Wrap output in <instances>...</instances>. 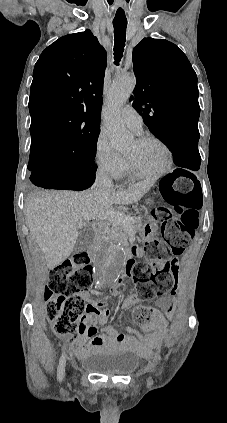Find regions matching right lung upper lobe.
Here are the masks:
<instances>
[{"label": "right lung upper lobe", "instance_id": "right-lung-upper-lobe-1", "mask_svg": "<svg viewBox=\"0 0 227 423\" xmlns=\"http://www.w3.org/2000/svg\"><path fill=\"white\" fill-rule=\"evenodd\" d=\"M106 51L90 30L66 35L35 64L31 152L68 148L99 133Z\"/></svg>", "mask_w": 227, "mask_h": 423}]
</instances>
